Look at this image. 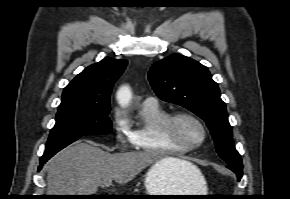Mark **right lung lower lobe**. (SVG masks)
Listing matches in <instances>:
<instances>
[{
	"label": "right lung lower lobe",
	"mask_w": 290,
	"mask_h": 199,
	"mask_svg": "<svg viewBox=\"0 0 290 199\" xmlns=\"http://www.w3.org/2000/svg\"><path fill=\"white\" fill-rule=\"evenodd\" d=\"M57 152L55 153H51V154H44L41 158H40V166L38 168V170L42 169V166L44 163H46L53 155H55Z\"/></svg>",
	"instance_id": "98d812e1"
}]
</instances>
